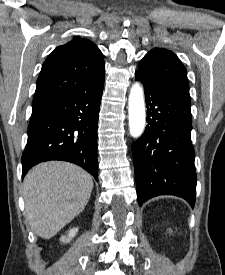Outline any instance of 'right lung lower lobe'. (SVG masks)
I'll list each match as a JSON object with an SVG mask.
<instances>
[{"label": "right lung lower lobe", "instance_id": "right-lung-lower-lobe-1", "mask_svg": "<svg viewBox=\"0 0 225 275\" xmlns=\"http://www.w3.org/2000/svg\"><path fill=\"white\" fill-rule=\"evenodd\" d=\"M104 76L85 93H67L33 103L22 176L49 160L75 163L98 181L97 122Z\"/></svg>", "mask_w": 225, "mask_h": 275}]
</instances>
